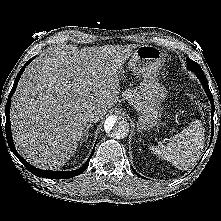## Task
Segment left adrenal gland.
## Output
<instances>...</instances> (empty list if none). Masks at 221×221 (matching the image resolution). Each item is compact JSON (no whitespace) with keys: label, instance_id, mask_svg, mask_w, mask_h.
<instances>
[{"label":"left adrenal gland","instance_id":"1","mask_svg":"<svg viewBox=\"0 0 221 221\" xmlns=\"http://www.w3.org/2000/svg\"><path fill=\"white\" fill-rule=\"evenodd\" d=\"M139 141H142V138H139Z\"/></svg>","mask_w":221,"mask_h":221}]
</instances>
